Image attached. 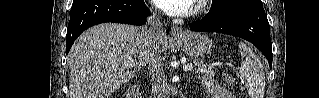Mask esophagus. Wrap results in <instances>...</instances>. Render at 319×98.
Masks as SVG:
<instances>
[{
	"label": "esophagus",
	"mask_w": 319,
	"mask_h": 98,
	"mask_svg": "<svg viewBox=\"0 0 319 98\" xmlns=\"http://www.w3.org/2000/svg\"><path fill=\"white\" fill-rule=\"evenodd\" d=\"M171 35L174 39L179 40L185 36V31L181 27L173 26L171 28Z\"/></svg>",
	"instance_id": "esophagus-1"
}]
</instances>
